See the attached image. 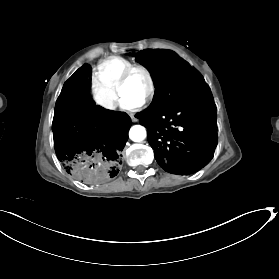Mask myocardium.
Here are the masks:
<instances>
[{"label": "myocardium", "instance_id": "obj_1", "mask_svg": "<svg viewBox=\"0 0 279 279\" xmlns=\"http://www.w3.org/2000/svg\"><path fill=\"white\" fill-rule=\"evenodd\" d=\"M134 72L143 73L148 80V84H149L148 92H147L145 98L143 99V101L141 102V105H145L153 99V97L155 95V91H156V84H155L154 77H153L152 73L150 72V70L143 65L132 64L123 70V72L121 73V75L118 79L117 94L119 95V97L122 96L123 89L126 86L127 82L129 81L131 75Z\"/></svg>", "mask_w": 279, "mask_h": 279}]
</instances>
